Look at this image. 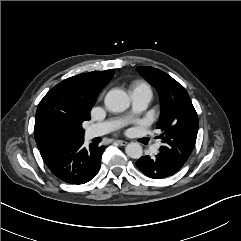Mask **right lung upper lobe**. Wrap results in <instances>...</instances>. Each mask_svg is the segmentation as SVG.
Here are the masks:
<instances>
[{
	"label": "right lung upper lobe",
	"instance_id": "1",
	"mask_svg": "<svg viewBox=\"0 0 241 241\" xmlns=\"http://www.w3.org/2000/svg\"><path fill=\"white\" fill-rule=\"evenodd\" d=\"M114 70L89 72L63 80L40 101L35 117L34 137L42 158L65 144L83 140L82 123Z\"/></svg>",
	"mask_w": 241,
	"mask_h": 241
}]
</instances>
